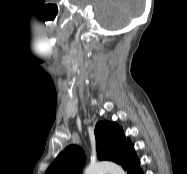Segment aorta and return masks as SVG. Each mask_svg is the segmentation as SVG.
Returning <instances> with one entry per match:
<instances>
[{
	"label": "aorta",
	"instance_id": "762f6f07",
	"mask_svg": "<svg viewBox=\"0 0 187 174\" xmlns=\"http://www.w3.org/2000/svg\"><path fill=\"white\" fill-rule=\"evenodd\" d=\"M84 174H126V172L116 163L105 161L89 164Z\"/></svg>",
	"mask_w": 187,
	"mask_h": 174
}]
</instances>
